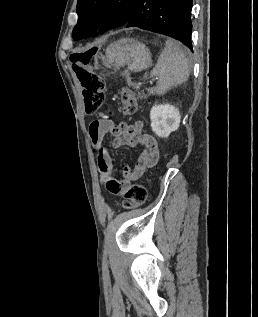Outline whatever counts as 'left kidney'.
Masks as SVG:
<instances>
[{
	"label": "left kidney",
	"mask_w": 258,
	"mask_h": 317,
	"mask_svg": "<svg viewBox=\"0 0 258 317\" xmlns=\"http://www.w3.org/2000/svg\"><path fill=\"white\" fill-rule=\"evenodd\" d=\"M180 112L173 104H154L150 110L153 132L157 136H169L180 124Z\"/></svg>",
	"instance_id": "obj_1"
}]
</instances>
